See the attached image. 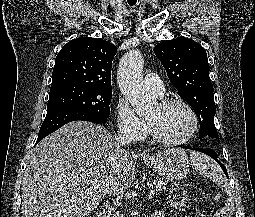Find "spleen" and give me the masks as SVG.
<instances>
[{
    "label": "spleen",
    "mask_w": 255,
    "mask_h": 217,
    "mask_svg": "<svg viewBox=\"0 0 255 217\" xmlns=\"http://www.w3.org/2000/svg\"><path fill=\"white\" fill-rule=\"evenodd\" d=\"M191 162L193 168L200 174L208 176L215 181L223 179L220 167L210 158L201 154H196L191 156Z\"/></svg>",
    "instance_id": "3e777b00"
}]
</instances>
